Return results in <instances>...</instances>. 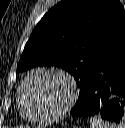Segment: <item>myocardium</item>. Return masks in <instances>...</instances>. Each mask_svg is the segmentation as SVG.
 Returning a JSON list of instances; mask_svg holds the SVG:
<instances>
[{
    "label": "myocardium",
    "mask_w": 125,
    "mask_h": 128,
    "mask_svg": "<svg viewBox=\"0 0 125 128\" xmlns=\"http://www.w3.org/2000/svg\"><path fill=\"white\" fill-rule=\"evenodd\" d=\"M40 73H51L57 75L62 79H64L69 87V95L65 103L56 111L48 114H32L26 109V105H25V98H24L25 89L28 83L30 82V80L32 79V77ZM77 97H78L77 84L75 82V79L72 77L70 73L57 67L41 66L31 70L23 80L22 84L20 85L19 93H18L19 109L22 115L29 120L35 122L54 121L61 118L73 107V105L77 100Z\"/></svg>",
    "instance_id": "myocardium-1"
}]
</instances>
